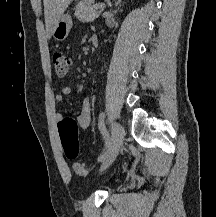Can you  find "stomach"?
I'll return each mask as SVG.
<instances>
[{"label": "stomach", "mask_w": 216, "mask_h": 217, "mask_svg": "<svg viewBox=\"0 0 216 217\" xmlns=\"http://www.w3.org/2000/svg\"><path fill=\"white\" fill-rule=\"evenodd\" d=\"M72 28V19L68 14H63L56 23L52 35L55 40L63 41L67 38Z\"/></svg>", "instance_id": "0dacf381"}]
</instances>
